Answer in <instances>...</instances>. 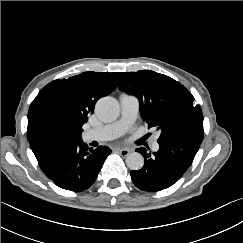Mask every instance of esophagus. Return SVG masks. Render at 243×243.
<instances>
[{"label":"esophagus","mask_w":243,"mask_h":243,"mask_svg":"<svg viewBox=\"0 0 243 243\" xmlns=\"http://www.w3.org/2000/svg\"><path fill=\"white\" fill-rule=\"evenodd\" d=\"M116 151L122 155V156H127L129 153H130V150L129 149H116Z\"/></svg>","instance_id":"obj_1"}]
</instances>
